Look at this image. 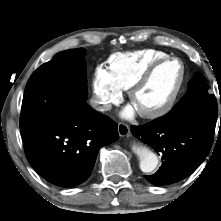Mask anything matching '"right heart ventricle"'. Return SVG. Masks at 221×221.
Here are the masks:
<instances>
[{
  "instance_id": "e07e8e85",
  "label": "right heart ventricle",
  "mask_w": 221,
  "mask_h": 221,
  "mask_svg": "<svg viewBox=\"0 0 221 221\" xmlns=\"http://www.w3.org/2000/svg\"><path fill=\"white\" fill-rule=\"evenodd\" d=\"M165 57L169 54L156 49L116 53L107 61L108 72L121 89L128 90L151 64Z\"/></svg>"
}]
</instances>
